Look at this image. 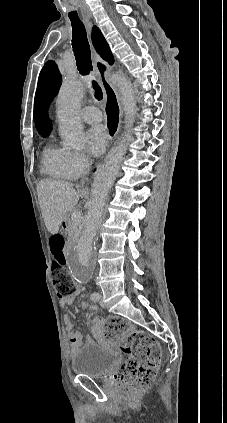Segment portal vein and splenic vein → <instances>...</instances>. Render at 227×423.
I'll use <instances>...</instances> for the list:
<instances>
[{"instance_id": "obj_1", "label": "portal vein and splenic vein", "mask_w": 227, "mask_h": 423, "mask_svg": "<svg viewBox=\"0 0 227 423\" xmlns=\"http://www.w3.org/2000/svg\"><path fill=\"white\" fill-rule=\"evenodd\" d=\"M71 219H73V221H79V219H81L80 211H73Z\"/></svg>"}]
</instances>
